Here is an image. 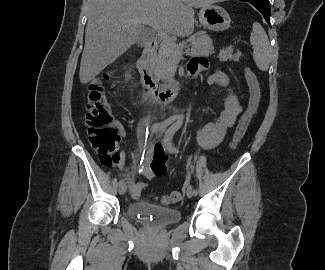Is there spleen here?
Returning a JSON list of instances; mask_svg holds the SVG:
<instances>
[{"mask_svg": "<svg viewBox=\"0 0 325 270\" xmlns=\"http://www.w3.org/2000/svg\"><path fill=\"white\" fill-rule=\"evenodd\" d=\"M250 43L254 48L253 59L257 67L262 71H267L270 65L271 48L269 45L268 36L258 22L253 23Z\"/></svg>", "mask_w": 325, "mask_h": 270, "instance_id": "1", "label": "spleen"}]
</instances>
